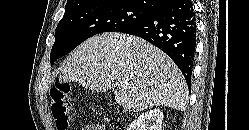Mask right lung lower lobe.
Instances as JSON below:
<instances>
[{
    "mask_svg": "<svg viewBox=\"0 0 249 130\" xmlns=\"http://www.w3.org/2000/svg\"><path fill=\"white\" fill-rule=\"evenodd\" d=\"M120 32L141 37L165 52L190 87L197 32L192 1L169 0L147 19Z\"/></svg>",
    "mask_w": 249,
    "mask_h": 130,
    "instance_id": "obj_1",
    "label": "right lung lower lobe"
}]
</instances>
